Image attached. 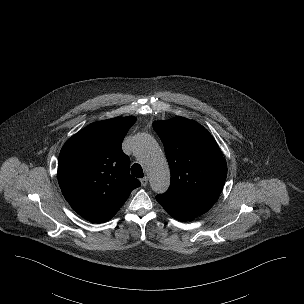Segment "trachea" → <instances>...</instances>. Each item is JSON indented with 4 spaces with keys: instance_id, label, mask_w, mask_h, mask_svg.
<instances>
[{
    "instance_id": "obj_1",
    "label": "trachea",
    "mask_w": 304,
    "mask_h": 304,
    "mask_svg": "<svg viewBox=\"0 0 304 304\" xmlns=\"http://www.w3.org/2000/svg\"><path fill=\"white\" fill-rule=\"evenodd\" d=\"M131 174L137 178H142L144 176L143 169L141 165L135 163L131 167Z\"/></svg>"
}]
</instances>
